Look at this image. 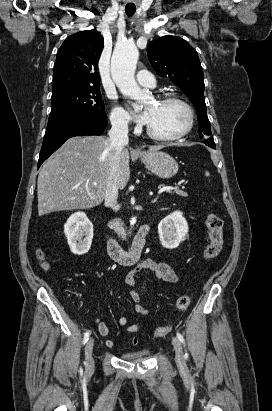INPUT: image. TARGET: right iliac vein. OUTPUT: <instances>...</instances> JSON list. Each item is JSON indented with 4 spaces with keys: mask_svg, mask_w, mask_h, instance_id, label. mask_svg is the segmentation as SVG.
<instances>
[{
    "mask_svg": "<svg viewBox=\"0 0 272 411\" xmlns=\"http://www.w3.org/2000/svg\"><path fill=\"white\" fill-rule=\"evenodd\" d=\"M94 339L90 338L85 346V360L87 371H91L94 367V359L92 356Z\"/></svg>",
    "mask_w": 272,
    "mask_h": 411,
    "instance_id": "obj_1",
    "label": "right iliac vein"
}]
</instances>
